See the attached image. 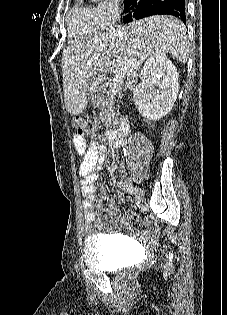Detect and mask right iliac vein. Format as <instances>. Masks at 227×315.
Wrapping results in <instances>:
<instances>
[{
  "label": "right iliac vein",
  "instance_id": "63e3f726",
  "mask_svg": "<svg viewBox=\"0 0 227 315\" xmlns=\"http://www.w3.org/2000/svg\"><path fill=\"white\" fill-rule=\"evenodd\" d=\"M135 196L138 203L143 199V191L139 187H135Z\"/></svg>",
  "mask_w": 227,
  "mask_h": 315
}]
</instances>
